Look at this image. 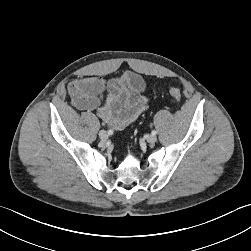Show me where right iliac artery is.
<instances>
[{
	"label": "right iliac artery",
	"instance_id": "right-iliac-artery-1",
	"mask_svg": "<svg viewBox=\"0 0 251 251\" xmlns=\"http://www.w3.org/2000/svg\"><path fill=\"white\" fill-rule=\"evenodd\" d=\"M108 134H109V135H112V134H113V131L110 129V130L108 131Z\"/></svg>",
	"mask_w": 251,
	"mask_h": 251
}]
</instances>
